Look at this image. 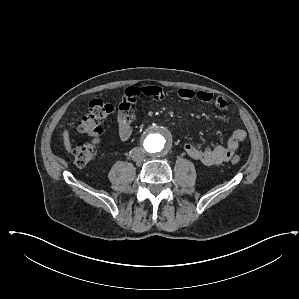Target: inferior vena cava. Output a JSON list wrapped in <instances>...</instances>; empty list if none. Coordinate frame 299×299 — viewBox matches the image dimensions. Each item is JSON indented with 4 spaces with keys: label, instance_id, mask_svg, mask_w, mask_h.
Returning <instances> with one entry per match:
<instances>
[{
    "label": "inferior vena cava",
    "instance_id": "1",
    "mask_svg": "<svg viewBox=\"0 0 299 299\" xmlns=\"http://www.w3.org/2000/svg\"><path fill=\"white\" fill-rule=\"evenodd\" d=\"M131 157L133 161L140 163L145 159V152L144 149L140 147H136L132 150Z\"/></svg>",
    "mask_w": 299,
    "mask_h": 299
}]
</instances>
